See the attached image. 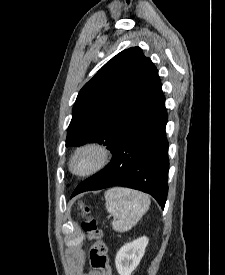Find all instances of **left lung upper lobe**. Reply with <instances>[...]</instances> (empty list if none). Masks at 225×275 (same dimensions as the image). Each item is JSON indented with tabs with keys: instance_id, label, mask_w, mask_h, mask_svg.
Listing matches in <instances>:
<instances>
[{
	"instance_id": "obj_1",
	"label": "left lung upper lobe",
	"mask_w": 225,
	"mask_h": 275,
	"mask_svg": "<svg viewBox=\"0 0 225 275\" xmlns=\"http://www.w3.org/2000/svg\"><path fill=\"white\" fill-rule=\"evenodd\" d=\"M161 92L158 70L139 47L120 52L80 90L66 146L96 142L113 151Z\"/></svg>"
}]
</instances>
